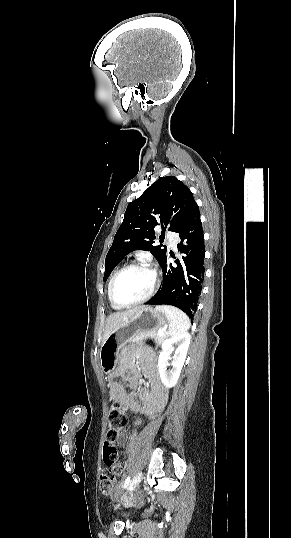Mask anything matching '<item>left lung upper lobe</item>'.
I'll return each instance as SVG.
<instances>
[{
	"mask_svg": "<svg viewBox=\"0 0 291 538\" xmlns=\"http://www.w3.org/2000/svg\"><path fill=\"white\" fill-rule=\"evenodd\" d=\"M198 208L192 192L180 180L174 176L159 178L138 199L128 204L123 222L106 255L104 281L115 266L134 250L150 251L161 264L167 256V249L154 245V227L161 225L165 231L168 226L175 232Z\"/></svg>",
	"mask_w": 291,
	"mask_h": 538,
	"instance_id": "obj_1",
	"label": "left lung upper lobe"
}]
</instances>
